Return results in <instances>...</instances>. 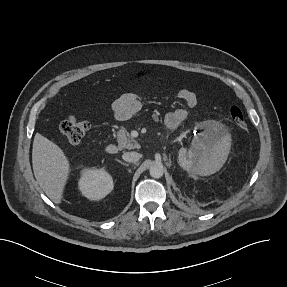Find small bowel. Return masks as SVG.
<instances>
[{
  "label": "small bowel",
  "mask_w": 287,
  "mask_h": 287,
  "mask_svg": "<svg viewBox=\"0 0 287 287\" xmlns=\"http://www.w3.org/2000/svg\"><path fill=\"white\" fill-rule=\"evenodd\" d=\"M177 97L188 107H194L198 103L197 95L189 89H181ZM142 106V97L140 94L128 92L121 95L113 104V111L119 120H128L135 115ZM187 110L176 108L167 112L165 116V126L168 129L177 128L187 117Z\"/></svg>",
  "instance_id": "c3829d8e"
}]
</instances>
